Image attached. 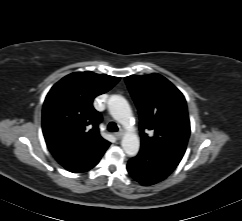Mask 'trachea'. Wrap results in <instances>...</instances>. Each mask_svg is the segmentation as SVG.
<instances>
[{
    "label": "trachea",
    "mask_w": 242,
    "mask_h": 221,
    "mask_svg": "<svg viewBox=\"0 0 242 221\" xmlns=\"http://www.w3.org/2000/svg\"><path fill=\"white\" fill-rule=\"evenodd\" d=\"M107 130H108L109 132H116V131H118V127H117L116 123H114V122H110V123L108 124V126H107Z\"/></svg>",
    "instance_id": "obj_1"
}]
</instances>
